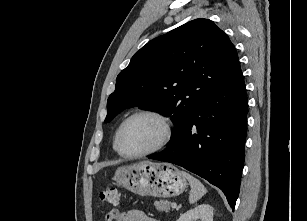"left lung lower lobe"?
Here are the masks:
<instances>
[{"instance_id": "left-lung-lower-lobe-1", "label": "left lung lower lobe", "mask_w": 307, "mask_h": 221, "mask_svg": "<svg viewBox=\"0 0 307 221\" xmlns=\"http://www.w3.org/2000/svg\"><path fill=\"white\" fill-rule=\"evenodd\" d=\"M248 101L239 62L191 112L168 146L149 159L179 165L209 181L234 208L245 157Z\"/></svg>"}]
</instances>
